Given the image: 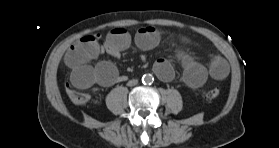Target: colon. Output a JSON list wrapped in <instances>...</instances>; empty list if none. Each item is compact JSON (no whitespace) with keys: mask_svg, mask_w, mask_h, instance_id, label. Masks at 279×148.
<instances>
[{"mask_svg":"<svg viewBox=\"0 0 279 148\" xmlns=\"http://www.w3.org/2000/svg\"><path fill=\"white\" fill-rule=\"evenodd\" d=\"M68 93L72 101L77 105H85L91 101V97L86 93H81L67 87ZM220 95V90L216 87L205 90L203 96L206 100L212 101Z\"/></svg>","mask_w":279,"mask_h":148,"instance_id":"colon-1","label":"colon"}]
</instances>
